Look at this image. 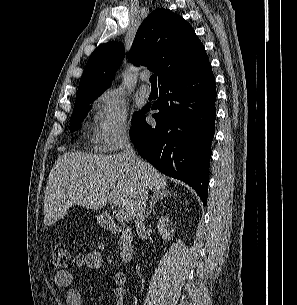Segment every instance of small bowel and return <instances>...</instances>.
I'll list each match as a JSON object with an SVG mask.
<instances>
[{"label":"small bowel","mask_w":297,"mask_h":305,"mask_svg":"<svg viewBox=\"0 0 297 305\" xmlns=\"http://www.w3.org/2000/svg\"><path fill=\"white\" fill-rule=\"evenodd\" d=\"M83 264L90 270H96L103 264V257L97 251L88 252L83 259ZM113 282L115 287L112 290L114 305H124L125 290V275L117 271L113 273ZM72 274L69 271L61 270L54 274V282L59 288H66V303L67 305H83V297L79 290L72 288Z\"/></svg>","instance_id":"c3829d8e"}]
</instances>
